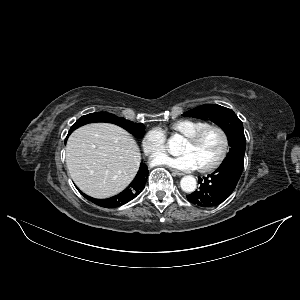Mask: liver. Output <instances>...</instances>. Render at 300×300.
Instances as JSON below:
<instances>
[{
	"instance_id": "6515ba94",
	"label": "liver",
	"mask_w": 300,
	"mask_h": 300,
	"mask_svg": "<svg viewBox=\"0 0 300 300\" xmlns=\"http://www.w3.org/2000/svg\"><path fill=\"white\" fill-rule=\"evenodd\" d=\"M141 161L132 136L119 126L91 123L76 129L66 146V165L78 188L94 198L123 191Z\"/></svg>"
}]
</instances>
